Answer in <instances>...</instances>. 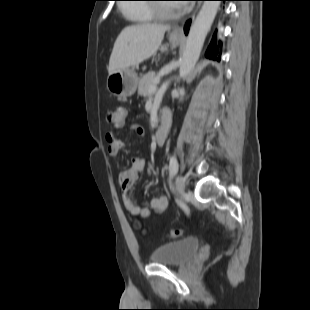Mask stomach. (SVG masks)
Returning a JSON list of instances; mask_svg holds the SVG:
<instances>
[{
  "label": "stomach",
  "mask_w": 310,
  "mask_h": 310,
  "mask_svg": "<svg viewBox=\"0 0 310 310\" xmlns=\"http://www.w3.org/2000/svg\"><path fill=\"white\" fill-rule=\"evenodd\" d=\"M169 41L172 46H177L181 38L170 35ZM137 85L138 76L131 68L109 74L106 82L108 91L118 97L132 96L136 92Z\"/></svg>",
  "instance_id": "1"
}]
</instances>
